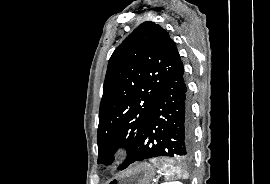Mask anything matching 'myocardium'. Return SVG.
Listing matches in <instances>:
<instances>
[{
	"mask_svg": "<svg viewBox=\"0 0 270 184\" xmlns=\"http://www.w3.org/2000/svg\"><path fill=\"white\" fill-rule=\"evenodd\" d=\"M129 153L130 146L127 143H123L113 151L112 158L115 160L124 159L129 155Z\"/></svg>",
	"mask_w": 270,
	"mask_h": 184,
	"instance_id": "obj_1",
	"label": "myocardium"
}]
</instances>
